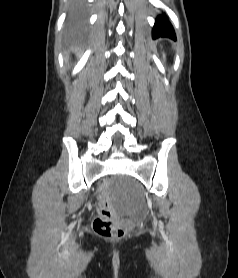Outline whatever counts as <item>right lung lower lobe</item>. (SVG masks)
Segmentation results:
<instances>
[{
    "label": "right lung lower lobe",
    "instance_id": "right-lung-lower-lobe-1",
    "mask_svg": "<svg viewBox=\"0 0 238 278\" xmlns=\"http://www.w3.org/2000/svg\"><path fill=\"white\" fill-rule=\"evenodd\" d=\"M82 1V0H77ZM85 18V12L81 2L76 3L72 15H71V22L74 24L81 23Z\"/></svg>",
    "mask_w": 238,
    "mask_h": 278
}]
</instances>
